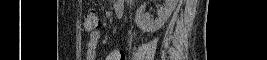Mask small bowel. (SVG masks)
<instances>
[{"label": "small bowel", "instance_id": "obj_1", "mask_svg": "<svg viewBox=\"0 0 267 60\" xmlns=\"http://www.w3.org/2000/svg\"><path fill=\"white\" fill-rule=\"evenodd\" d=\"M124 2L118 1L115 4L116 7H123ZM100 33L99 32H93L89 35V39L87 42V50H86V58L87 60H95L96 59V52L97 47L100 42ZM126 56L124 51L122 50H114L112 51L107 57L106 60H125Z\"/></svg>", "mask_w": 267, "mask_h": 60}]
</instances>
